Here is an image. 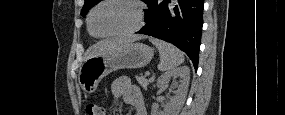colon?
I'll return each mask as SVG.
<instances>
[{
  "label": "colon",
  "instance_id": "obj_1",
  "mask_svg": "<svg viewBox=\"0 0 285 115\" xmlns=\"http://www.w3.org/2000/svg\"><path fill=\"white\" fill-rule=\"evenodd\" d=\"M86 113L88 115H103L104 109H103V107H101L95 103H89L86 106Z\"/></svg>",
  "mask_w": 285,
  "mask_h": 115
}]
</instances>
